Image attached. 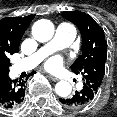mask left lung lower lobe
Wrapping results in <instances>:
<instances>
[{
    "label": "left lung lower lobe",
    "instance_id": "obj_1",
    "mask_svg": "<svg viewBox=\"0 0 117 117\" xmlns=\"http://www.w3.org/2000/svg\"><path fill=\"white\" fill-rule=\"evenodd\" d=\"M97 92L89 85L84 83L83 89L77 91L73 96L67 98H59L63 106L68 108H81L90 104L96 97Z\"/></svg>",
    "mask_w": 117,
    "mask_h": 117
}]
</instances>
